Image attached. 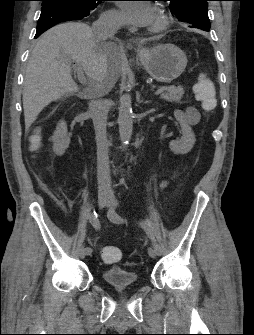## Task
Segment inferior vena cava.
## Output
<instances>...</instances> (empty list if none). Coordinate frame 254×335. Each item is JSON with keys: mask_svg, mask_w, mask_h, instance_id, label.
Segmentation results:
<instances>
[{"mask_svg": "<svg viewBox=\"0 0 254 335\" xmlns=\"http://www.w3.org/2000/svg\"><path fill=\"white\" fill-rule=\"evenodd\" d=\"M120 25L119 20L115 16L104 14L92 24V30L98 39H107L114 37L120 28ZM89 110L96 135L98 188L100 191H111L108 156L109 145L106 133L108 102L105 99L97 97L96 99L91 100Z\"/></svg>", "mask_w": 254, "mask_h": 335, "instance_id": "602c4592", "label": "inferior vena cava"}]
</instances>
